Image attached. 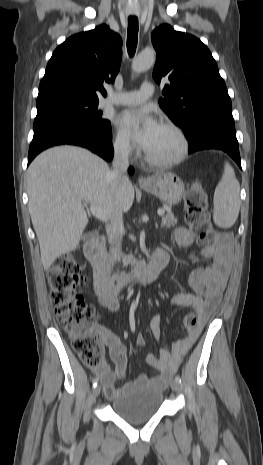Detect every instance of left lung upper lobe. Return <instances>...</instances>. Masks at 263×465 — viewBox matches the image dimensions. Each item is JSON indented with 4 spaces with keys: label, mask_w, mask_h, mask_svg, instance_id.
I'll return each instance as SVG.
<instances>
[{
    "label": "left lung upper lobe",
    "mask_w": 263,
    "mask_h": 465,
    "mask_svg": "<svg viewBox=\"0 0 263 465\" xmlns=\"http://www.w3.org/2000/svg\"><path fill=\"white\" fill-rule=\"evenodd\" d=\"M151 39L157 52L153 78L169 79L159 104L191 137L213 116L233 120L231 99L209 49L195 36L164 24Z\"/></svg>",
    "instance_id": "1"
}]
</instances>
